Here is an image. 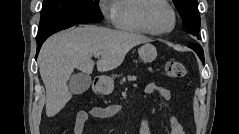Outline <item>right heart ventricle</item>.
I'll return each mask as SVG.
<instances>
[{
    "label": "right heart ventricle",
    "mask_w": 239,
    "mask_h": 134,
    "mask_svg": "<svg viewBox=\"0 0 239 134\" xmlns=\"http://www.w3.org/2000/svg\"><path fill=\"white\" fill-rule=\"evenodd\" d=\"M146 0H117L114 3L115 26L123 31L149 34L143 25L141 11Z\"/></svg>",
    "instance_id": "right-heart-ventricle-1"
}]
</instances>
